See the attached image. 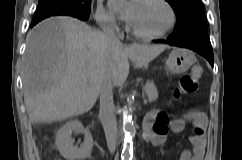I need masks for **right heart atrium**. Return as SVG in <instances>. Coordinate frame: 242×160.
I'll return each mask as SVG.
<instances>
[{
  "label": "right heart atrium",
  "mask_w": 242,
  "mask_h": 160,
  "mask_svg": "<svg viewBox=\"0 0 242 160\" xmlns=\"http://www.w3.org/2000/svg\"><path fill=\"white\" fill-rule=\"evenodd\" d=\"M96 20L98 24L104 29H113L117 26V20L115 16L101 3L98 4L96 10Z\"/></svg>",
  "instance_id": "right-heart-atrium-1"
}]
</instances>
